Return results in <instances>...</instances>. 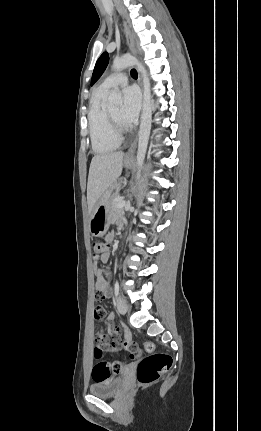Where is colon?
Returning <instances> with one entry per match:
<instances>
[{"label": "colon", "instance_id": "colon-1", "mask_svg": "<svg viewBox=\"0 0 261 431\" xmlns=\"http://www.w3.org/2000/svg\"><path fill=\"white\" fill-rule=\"evenodd\" d=\"M92 248L94 259L101 258L109 251L108 243L100 240L95 241ZM153 348L154 345L151 342H148L144 347V351L147 352L145 356H142V350H138L134 356H131L133 360L139 361L137 367V379L141 385H150L156 382L162 374L170 369L172 365L171 356L161 352H153ZM94 356L97 363L91 371V380L92 383H95L96 385L107 383V381L111 379L112 373H123L125 371L123 360H113L112 364L103 361L102 350L98 345L95 348Z\"/></svg>", "mask_w": 261, "mask_h": 431}]
</instances>
